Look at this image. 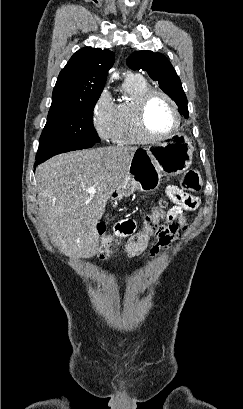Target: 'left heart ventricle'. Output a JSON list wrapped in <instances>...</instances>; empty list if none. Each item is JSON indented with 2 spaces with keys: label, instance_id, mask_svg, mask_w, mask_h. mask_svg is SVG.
I'll list each match as a JSON object with an SVG mask.
<instances>
[{
  "label": "left heart ventricle",
  "instance_id": "b2bd125f",
  "mask_svg": "<svg viewBox=\"0 0 243 409\" xmlns=\"http://www.w3.org/2000/svg\"><path fill=\"white\" fill-rule=\"evenodd\" d=\"M145 120L148 130L154 135H162L169 132L175 124L171 106L159 95H154L149 100Z\"/></svg>",
  "mask_w": 243,
  "mask_h": 409
}]
</instances>
